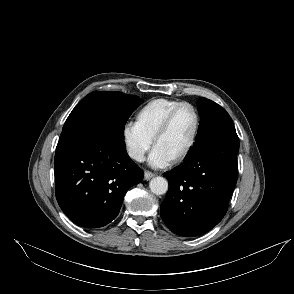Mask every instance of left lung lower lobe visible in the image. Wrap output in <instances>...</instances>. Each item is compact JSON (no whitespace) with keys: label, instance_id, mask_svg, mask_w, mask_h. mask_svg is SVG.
<instances>
[{"label":"left lung lower lobe","instance_id":"left-lung-lower-lobe-1","mask_svg":"<svg viewBox=\"0 0 294 294\" xmlns=\"http://www.w3.org/2000/svg\"><path fill=\"white\" fill-rule=\"evenodd\" d=\"M236 131L197 141L183 163L164 176L168 193L161 218L181 236H199L217 225L227 212L238 174Z\"/></svg>","mask_w":294,"mask_h":294}]
</instances>
